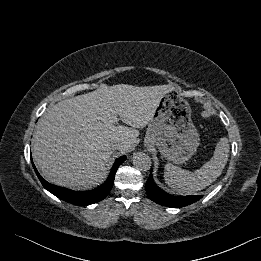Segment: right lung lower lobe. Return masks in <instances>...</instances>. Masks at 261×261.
<instances>
[{
  "label": "right lung lower lobe",
  "instance_id": "98d812e1",
  "mask_svg": "<svg viewBox=\"0 0 261 261\" xmlns=\"http://www.w3.org/2000/svg\"><path fill=\"white\" fill-rule=\"evenodd\" d=\"M125 159H126V156H121L120 158H118L115 161V163L113 164V166L111 168L109 177L107 178V180L105 181V183L103 185H101L93 190L85 191V192H76V191H72L67 188L55 186V185L48 183L40 176V174L38 173L33 162H32V165H33L34 170H35L38 178L40 179L42 185L49 192H51L52 194H54L55 196H57L58 198L66 201V202H69V203H72L75 205L87 206V205L96 203V202L104 199L108 195V193L110 192V190L113 186V183H114L115 173H116L119 165H121L125 161Z\"/></svg>",
  "mask_w": 261,
  "mask_h": 261
}]
</instances>
